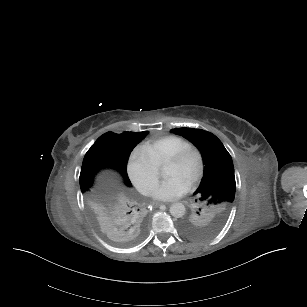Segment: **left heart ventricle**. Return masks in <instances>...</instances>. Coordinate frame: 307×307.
I'll use <instances>...</instances> for the list:
<instances>
[{"label": "left heart ventricle", "instance_id": "b2bd125f", "mask_svg": "<svg viewBox=\"0 0 307 307\" xmlns=\"http://www.w3.org/2000/svg\"><path fill=\"white\" fill-rule=\"evenodd\" d=\"M200 165V156L198 152L190 153L187 158L180 162L174 163L167 161L165 173L167 176L178 175L189 181L190 178L198 171Z\"/></svg>", "mask_w": 307, "mask_h": 307}]
</instances>
